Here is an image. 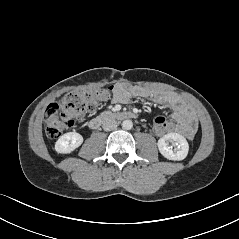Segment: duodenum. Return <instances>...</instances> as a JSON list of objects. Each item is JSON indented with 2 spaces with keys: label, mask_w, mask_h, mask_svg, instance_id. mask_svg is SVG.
Returning a JSON list of instances; mask_svg holds the SVG:
<instances>
[{
  "label": "duodenum",
  "mask_w": 239,
  "mask_h": 239,
  "mask_svg": "<svg viewBox=\"0 0 239 239\" xmlns=\"http://www.w3.org/2000/svg\"><path fill=\"white\" fill-rule=\"evenodd\" d=\"M132 118H135V115L132 112L126 111L105 112L92 118L89 121V127L91 129H97L101 126L103 122L109 119L126 120Z\"/></svg>",
  "instance_id": "410a0bca"
}]
</instances>
